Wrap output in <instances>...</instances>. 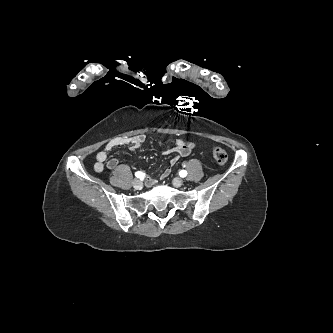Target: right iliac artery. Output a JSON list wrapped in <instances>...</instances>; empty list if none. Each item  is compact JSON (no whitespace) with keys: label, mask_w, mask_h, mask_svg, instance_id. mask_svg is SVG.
<instances>
[{"label":"right iliac artery","mask_w":333,"mask_h":333,"mask_svg":"<svg viewBox=\"0 0 333 333\" xmlns=\"http://www.w3.org/2000/svg\"><path fill=\"white\" fill-rule=\"evenodd\" d=\"M135 176H136L137 178L142 179V178H144L145 174H144L143 172L138 171V172L135 173Z\"/></svg>","instance_id":"obj_1"}]
</instances>
